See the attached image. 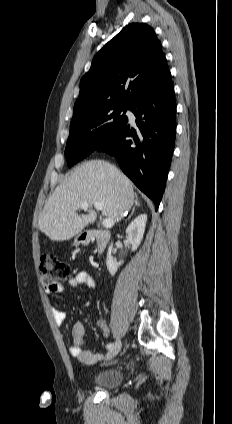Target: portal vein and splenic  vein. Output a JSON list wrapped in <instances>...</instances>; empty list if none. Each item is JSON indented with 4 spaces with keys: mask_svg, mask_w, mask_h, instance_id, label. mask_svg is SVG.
I'll list each match as a JSON object with an SVG mask.
<instances>
[{
    "mask_svg": "<svg viewBox=\"0 0 232 424\" xmlns=\"http://www.w3.org/2000/svg\"><path fill=\"white\" fill-rule=\"evenodd\" d=\"M94 207L97 210H102L104 208V203L103 202H95ZM80 208L83 209V210L88 209V203H81ZM102 224L105 228H110V227L113 226L114 221L112 219H105V220H103Z\"/></svg>",
    "mask_w": 232,
    "mask_h": 424,
    "instance_id": "1",
    "label": "portal vein and splenic vein"
}]
</instances>
